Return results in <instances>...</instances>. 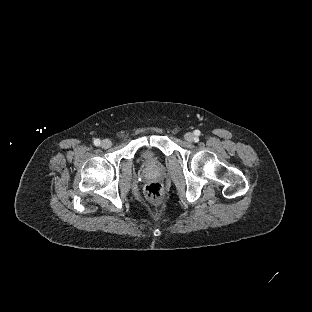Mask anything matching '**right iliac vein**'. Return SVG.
Returning <instances> with one entry per match:
<instances>
[{"label": "right iliac vein", "instance_id": "right-iliac-vein-1", "mask_svg": "<svg viewBox=\"0 0 312 312\" xmlns=\"http://www.w3.org/2000/svg\"><path fill=\"white\" fill-rule=\"evenodd\" d=\"M111 146V141L109 139H104L102 142H101V147L104 148V149H107Z\"/></svg>", "mask_w": 312, "mask_h": 312}]
</instances>
